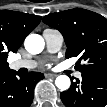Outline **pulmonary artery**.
Instances as JSON below:
<instances>
[{
  "instance_id": "obj_1",
  "label": "pulmonary artery",
  "mask_w": 107,
  "mask_h": 107,
  "mask_svg": "<svg viewBox=\"0 0 107 107\" xmlns=\"http://www.w3.org/2000/svg\"><path fill=\"white\" fill-rule=\"evenodd\" d=\"M43 37L48 52L55 53L58 50H60L63 43V36L59 31L54 29H46L43 32ZM36 66L37 63L33 60H17L13 62L11 65L13 69H20V68L33 69ZM75 76L79 78L81 76V73L76 72Z\"/></svg>"
}]
</instances>
